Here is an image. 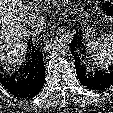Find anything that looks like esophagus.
Listing matches in <instances>:
<instances>
[{"mask_svg":"<svg viewBox=\"0 0 113 113\" xmlns=\"http://www.w3.org/2000/svg\"><path fill=\"white\" fill-rule=\"evenodd\" d=\"M58 35L60 36L61 39H63L66 42H70L72 39V36L69 34V32L63 29L59 30Z\"/></svg>","mask_w":113,"mask_h":113,"instance_id":"esophagus-1","label":"esophagus"}]
</instances>
